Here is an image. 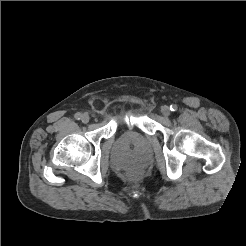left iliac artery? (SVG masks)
<instances>
[{
    "label": "left iliac artery",
    "mask_w": 246,
    "mask_h": 246,
    "mask_svg": "<svg viewBox=\"0 0 246 246\" xmlns=\"http://www.w3.org/2000/svg\"><path fill=\"white\" fill-rule=\"evenodd\" d=\"M177 109H178V107H177V105H175V104H172L171 106H170V110L171 111H177Z\"/></svg>",
    "instance_id": "obj_1"
}]
</instances>
